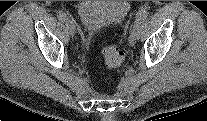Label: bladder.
I'll list each match as a JSON object with an SVG mask.
<instances>
[{
  "label": "bladder",
  "instance_id": "obj_1",
  "mask_svg": "<svg viewBox=\"0 0 207 121\" xmlns=\"http://www.w3.org/2000/svg\"><path fill=\"white\" fill-rule=\"evenodd\" d=\"M130 5L126 1H81L78 15L89 32L120 24L127 16Z\"/></svg>",
  "mask_w": 207,
  "mask_h": 121
}]
</instances>
